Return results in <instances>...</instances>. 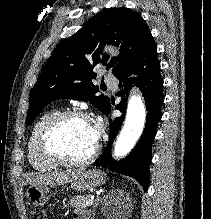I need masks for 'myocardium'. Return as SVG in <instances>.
I'll return each mask as SVG.
<instances>
[{
	"mask_svg": "<svg viewBox=\"0 0 211 219\" xmlns=\"http://www.w3.org/2000/svg\"><path fill=\"white\" fill-rule=\"evenodd\" d=\"M68 119H79L87 121V115L82 111L71 109L56 112L40 128L36 138V150L40 157L53 165L81 167L93 162L100 151L96 143L94 150L84 159L74 160L61 155L54 146L53 136L60 124Z\"/></svg>",
	"mask_w": 211,
	"mask_h": 219,
	"instance_id": "myocardium-1",
	"label": "myocardium"
}]
</instances>
